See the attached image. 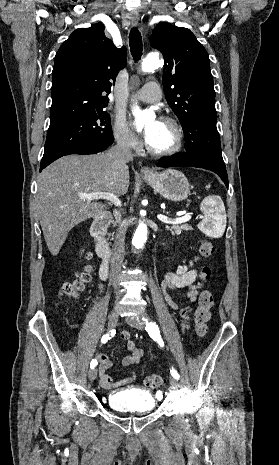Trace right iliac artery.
<instances>
[{"mask_svg":"<svg viewBox=\"0 0 279 465\" xmlns=\"http://www.w3.org/2000/svg\"><path fill=\"white\" fill-rule=\"evenodd\" d=\"M114 334H115V330H112L110 333L103 335V337L101 338V342L106 343L110 339V335H114ZM97 364H98L97 360L93 359L90 363V367L94 368Z\"/></svg>","mask_w":279,"mask_h":465,"instance_id":"right-iliac-artery-1","label":"right iliac artery"}]
</instances>
